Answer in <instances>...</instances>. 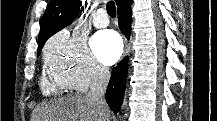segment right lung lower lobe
Returning a JSON list of instances; mask_svg holds the SVG:
<instances>
[{"mask_svg": "<svg viewBox=\"0 0 217 121\" xmlns=\"http://www.w3.org/2000/svg\"><path fill=\"white\" fill-rule=\"evenodd\" d=\"M131 3L132 0H123L121 3L117 4L119 27L127 38H129L131 34ZM127 73V58L122 60L111 72V78L106 91V101L114 113L120 110L123 102Z\"/></svg>", "mask_w": 217, "mask_h": 121, "instance_id": "1", "label": "right lung lower lobe"}]
</instances>
